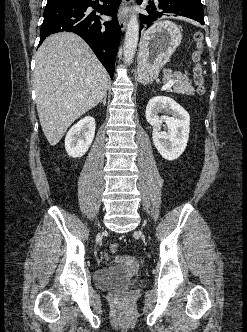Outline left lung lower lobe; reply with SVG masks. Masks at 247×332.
<instances>
[{
  "instance_id": "1",
  "label": "left lung lower lobe",
  "mask_w": 247,
  "mask_h": 332,
  "mask_svg": "<svg viewBox=\"0 0 247 332\" xmlns=\"http://www.w3.org/2000/svg\"><path fill=\"white\" fill-rule=\"evenodd\" d=\"M143 0H137L141 4ZM158 4L149 1V6H146L147 14H140L141 29H147L152 25L153 21L162 16H183L202 25L204 22V11L201 0H157Z\"/></svg>"
}]
</instances>
